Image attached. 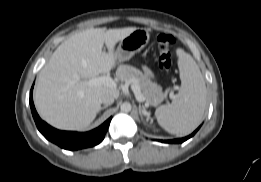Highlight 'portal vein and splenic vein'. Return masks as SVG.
<instances>
[{"instance_id": "1", "label": "portal vein and splenic vein", "mask_w": 261, "mask_h": 182, "mask_svg": "<svg viewBox=\"0 0 261 182\" xmlns=\"http://www.w3.org/2000/svg\"><path fill=\"white\" fill-rule=\"evenodd\" d=\"M89 84L90 85H105V86L112 87V88L116 87L115 81L109 75H103L101 77L92 78L91 80H89ZM131 89H132L136 99L139 102L146 101V98L142 94L140 86L138 85V83L136 81L131 84ZM148 105L149 104L146 102L145 106H148Z\"/></svg>"}]
</instances>
